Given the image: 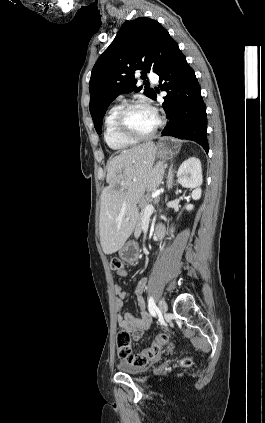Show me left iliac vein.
<instances>
[{
  "label": "left iliac vein",
  "instance_id": "1",
  "mask_svg": "<svg viewBox=\"0 0 265 423\" xmlns=\"http://www.w3.org/2000/svg\"><path fill=\"white\" fill-rule=\"evenodd\" d=\"M158 306H159V311L161 312V314H165L167 312V303L165 302L164 299H160L158 302Z\"/></svg>",
  "mask_w": 265,
  "mask_h": 423
}]
</instances>
